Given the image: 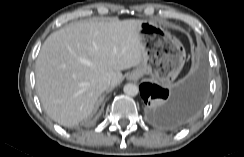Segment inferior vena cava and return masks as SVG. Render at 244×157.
I'll return each mask as SVG.
<instances>
[{
  "label": "inferior vena cava",
  "instance_id": "obj_1",
  "mask_svg": "<svg viewBox=\"0 0 244 157\" xmlns=\"http://www.w3.org/2000/svg\"><path fill=\"white\" fill-rule=\"evenodd\" d=\"M111 75L110 74H106L104 77H103V82L106 83V84H110L111 82Z\"/></svg>",
  "mask_w": 244,
  "mask_h": 157
}]
</instances>
